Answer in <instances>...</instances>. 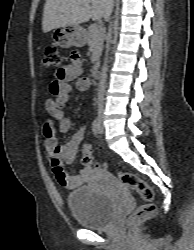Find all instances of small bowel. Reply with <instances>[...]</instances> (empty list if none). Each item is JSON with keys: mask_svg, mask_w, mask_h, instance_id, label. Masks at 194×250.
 <instances>
[{"mask_svg": "<svg viewBox=\"0 0 194 250\" xmlns=\"http://www.w3.org/2000/svg\"><path fill=\"white\" fill-rule=\"evenodd\" d=\"M82 66L79 62H72L57 72L56 77L49 84V91L53 97L45 102V108L50 115L44 124V147L50 158L52 171L57 181L68 189L78 188L85 183L92 171L86 167L78 174H71L66 171L64 166L74 163L79 145L84 137L85 129L76 131L70 140L60 145L57 142L56 129L53 121L59 123V130L67 133L72 127V121L67 117L62 108L67 104L74 89L86 90L90 86L87 78L80 77ZM75 81V85L72 82Z\"/></svg>", "mask_w": 194, "mask_h": 250, "instance_id": "c3829d8e", "label": "small bowel"}]
</instances>
